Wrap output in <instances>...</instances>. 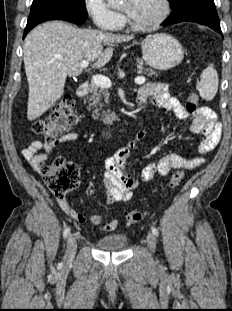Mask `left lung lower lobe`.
I'll return each instance as SVG.
<instances>
[{
  "mask_svg": "<svg viewBox=\"0 0 232 311\" xmlns=\"http://www.w3.org/2000/svg\"><path fill=\"white\" fill-rule=\"evenodd\" d=\"M184 21L203 24L222 33L213 0H181L172 7V13L161 25L167 26Z\"/></svg>",
  "mask_w": 232,
  "mask_h": 311,
  "instance_id": "left-lung-lower-lobe-1",
  "label": "left lung lower lobe"
}]
</instances>
